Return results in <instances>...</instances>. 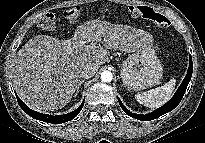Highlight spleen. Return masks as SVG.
I'll return each instance as SVG.
<instances>
[{
	"label": "spleen",
	"mask_w": 205,
	"mask_h": 143,
	"mask_svg": "<svg viewBox=\"0 0 205 143\" xmlns=\"http://www.w3.org/2000/svg\"><path fill=\"white\" fill-rule=\"evenodd\" d=\"M175 86L176 79L172 78L161 87L151 89L142 94H136L135 98L140 104L146 107L158 108L171 99Z\"/></svg>",
	"instance_id": "obj_1"
}]
</instances>
